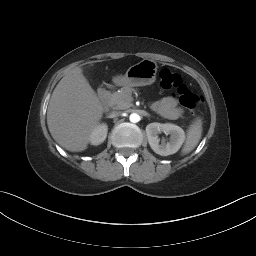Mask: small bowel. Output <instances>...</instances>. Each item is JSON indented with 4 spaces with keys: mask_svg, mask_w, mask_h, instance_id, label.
Here are the masks:
<instances>
[{
    "mask_svg": "<svg viewBox=\"0 0 256 256\" xmlns=\"http://www.w3.org/2000/svg\"><path fill=\"white\" fill-rule=\"evenodd\" d=\"M152 108L156 113L168 120H176L183 113L176 100L170 96L154 102Z\"/></svg>",
    "mask_w": 256,
    "mask_h": 256,
    "instance_id": "1",
    "label": "small bowel"
}]
</instances>
